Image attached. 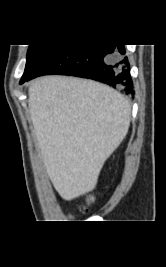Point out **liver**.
<instances>
[{"mask_svg": "<svg viewBox=\"0 0 166 267\" xmlns=\"http://www.w3.org/2000/svg\"><path fill=\"white\" fill-rule=\"evenodd\" d=\"M28 105L56 191L70 201L94 190L105 161L127 135L129 102L95 81L46 76L31 83Z\"/></svg>", "mask_w": 166, "mask_h": 267, "instance_id": "liver-1", "label": "liver"}]
</instances>
